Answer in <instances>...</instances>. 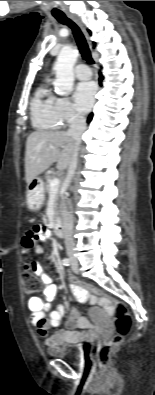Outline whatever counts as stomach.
<instances>
[{
  "label": "stomach",
  "mask_w": 155,
  "mask_h": 395,
  "mask_svg": "<svg viewBox=\"0 0 155 395\" xmlns=\"http://www.w3.org/2000/svg\"><path fill=\"white\" fill-rule=\"evenodd\" d=\"M27 206L30 210H38L44 202V182L41 178H34L27 185Z\"/></svg>",
  "instance_id": "1"
}]
</instances>
